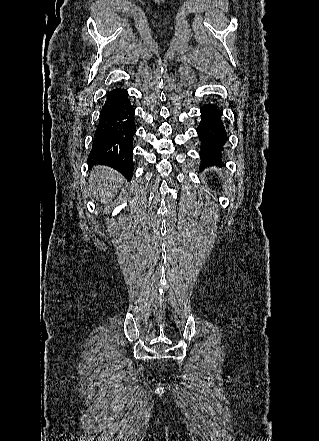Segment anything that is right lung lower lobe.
<instances>
[{"mask_svg": "<svg viewBox=\"0 0 319 441\" xmlns=\"http://www.w3.org/2000/svg\"><path fill=\"white\" fill-rule=\"evenodd\" d=\"M135 110L127 90L115 88L106 95L88 161L116 169L127 179L133 176Z\"/></svg>", "mask_w": 319, "mask_h": 441, "instance_id": "98d812e1", "label": "right lung lower lobe"}]
</instances>
